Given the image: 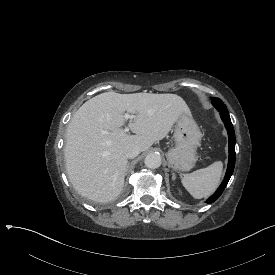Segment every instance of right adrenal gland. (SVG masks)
Wrapping results in <instances>:
<instances>
[{
	"label": "right adrenal gland",
	"mask_w": 275,
	"mask_h": 275,
	"mask_svg": "<svg viewBox=\"0 0 275 275\" xmlns=\"http://www.w3.org/2000/svg\"><path fill=\"white\" fill-rule=\"evenodd\" d=\"M129 165H130V161L127 162V168L129 167Z\"/></svg>",
	"instance_id": "right-adrenal-gland-1"
}]
</instances>
